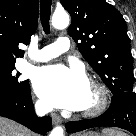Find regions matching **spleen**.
<instances>
[{
    "label": "spleen",
    "instance_id": "spleen-1",
    "mask_svg": "<svg viewBox=\"0 0 136 136\" xmlns=\"http://www.w3.org/2000/svg\"><path fill=\"white\" fill-rule=\"evenodd\" d=\"M103 132L106 134V136H126L124 133L112 129H105Z\"/></svg>",
    "mask_w": 136,
    "mask_h": 136
}]
</instances>
